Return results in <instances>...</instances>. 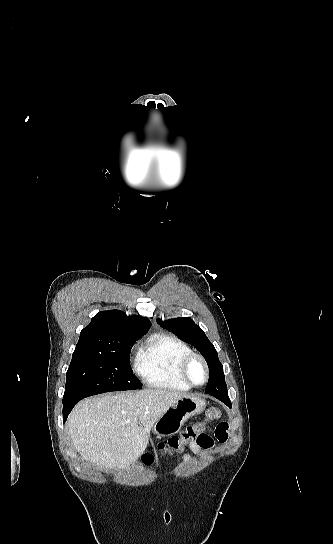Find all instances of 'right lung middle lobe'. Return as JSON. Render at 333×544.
Here are the masks:
<instances>
[{"instance_id": "dd1d6c3e", "label": "right lung middle lobe", "mask_w": 333, "mask_h": 544, "mask_svg": "<svg viewBox=\"0 0 333 544\" xmlns=\"http://www.w3.org/2000/svg\"><path fill=\"white\" fill-rule=\"evenodd\" d=\"M137 339L114 340L104 351L75 350L66 375L63 401H80L100 393L142 388L129 360Z\"/></svg>"}]
</instances>
